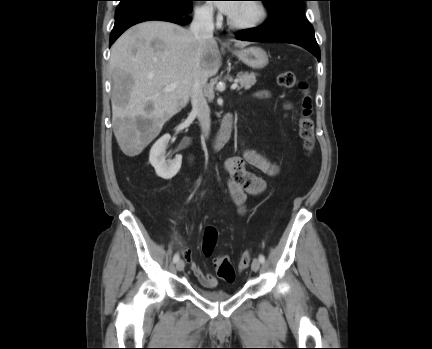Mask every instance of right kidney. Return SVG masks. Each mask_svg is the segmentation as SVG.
<instances>
[{"label": "right kidney", "instance_id": "obj_1", "mask_svg": "<svg viewBox=\"0 0 432 349\" xmlns=\"http://www.w3.org/2000/svg\"><path fill=\"white\" fill-rule=\"evenodd\" d=\"M170 138L169 134L163 135L152 146L149 154V162L154 167L157 176L166 180L173 178L179 172L182 164L181 155L166 161L165 153Z\"/></svg>", "mask_w": 432, "mask_h": 349}]
</instances>
